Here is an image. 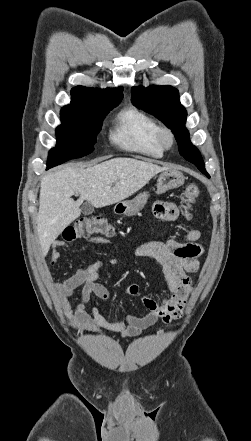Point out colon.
Instances as JSON below:
<instances>
[{"label": "colon", "instance_id": "colon-1", "mask_svg": "<svg viewBox=\"0 0 251 441\" xmlns=\"http://www.w3.org/2000/svg\"><path fill=\"white\" fill-rule=\"evenodd\" d=\"M199 196V188L191 183L183 190L180 200V210L185 218L191 217L193 205ZM115 235L114 227L104 218L85 217L68 226L63 232V239L72 242L90 237L111 238Z\"/></svg>", "mask_w": 251, "mask_h": 441}]
</instances>
